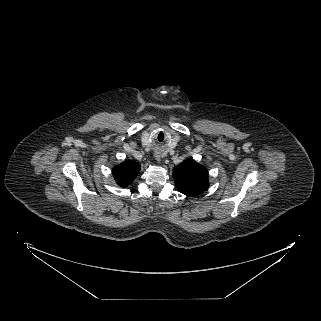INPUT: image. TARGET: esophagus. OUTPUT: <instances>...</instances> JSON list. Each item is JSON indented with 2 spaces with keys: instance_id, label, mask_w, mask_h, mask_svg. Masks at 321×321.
Instances as JSON below:
<instances>
[{
  "instance_id": "obj_1",
  "label": "esophagus",
  "mask_w": 321,
  "mask_h": 321,
  "mask_svg": "<svg viewBox=\"0 0 321 321\" xmlns=\"http://www.w3.org/2000/svg\"><path fill=\"white\" fill-rule=\"evenodd\" d=\"M156 160L157 161H161V157L160 156H156Z\"/></svg>"
}]
</instances>
